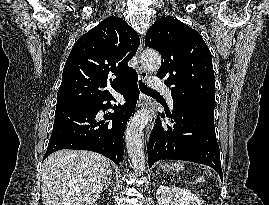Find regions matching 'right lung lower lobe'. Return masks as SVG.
Wrapping results in <instances>:
<instances>
[{
	"label": "right lung lower lobe",
	"instance_id": "1",
	"mask_svg": "<svg viewBox=\"0 0 269 205\" xmlns=\"http://www.w3.org/2000/svg\"><path fill=\"white\" fill-rule=\"evenodd\" d=\"M136 81L137 74L120 87L125 104L114 106V112L104 116L112 122H97L96 118L100 110L110 107L103 102L107 100L109 103L112 95L88 103L56 107L53 131L43 159L57 150L80 149L100 153L119 165L123 161L125 125L139 98Z\"/></svg>",
	"mask_w": 269,
	"mask_h": 205
}]
</instances>
